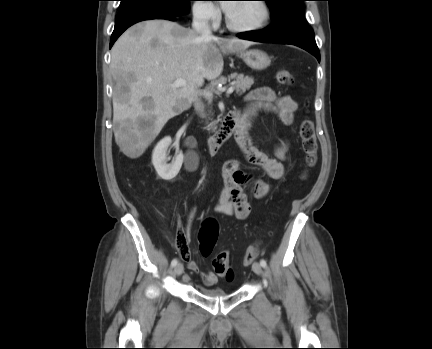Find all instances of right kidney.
Listing matches in <instances>:
<instances>
[{
  "label": "right kidney",
  "mask_w": 432,
  "mask_h": 349,
  "mask_svg": "<svg viewBox=\"0 0 432 349\" xmlns=\"http://www.w3.org/2000/svg\"><path fill=\"white\" fill-rule=\"evenodd\" d=\"M171 144V138L165 137L157 143L152 154V164L160 178L163 180H172L179 173L183 163V153L180 152L175 160L170 164L167 163V150Z\"/></svg>",
  "instance_id": "obj_1"
}]
</instances>
